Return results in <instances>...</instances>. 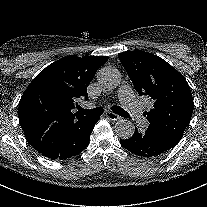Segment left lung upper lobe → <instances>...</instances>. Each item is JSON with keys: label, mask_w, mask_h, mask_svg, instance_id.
I'll return each instance as SVG.
<instances>
[{"label": "left lung upper lobe", "mask_w": 207, "mask_h": 207, "mask_svg": "<svg viewBox=\"0 0 207 207\" xmlns=\"http://www.w3.org/2000/svg\"><path fill=\"white\" fill-rule=\"evenodd\" d=\"M127 74L139 95L152 100L144 112L154 132L175 147L191 119L194 102L185 78L164 59L144 51L119 53Z\"/></svg>", "instance_id": "left-lung-upper-lobe-1"}]
</instances>
